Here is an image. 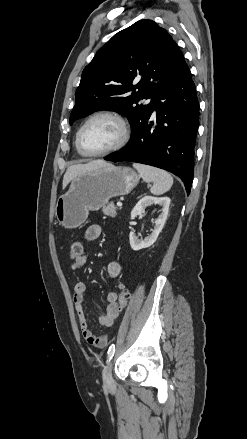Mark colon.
<instances>
[{"label": "colon", "instance_id": "5ec220e1", "mask_svg": "<svg viewBox=\"0 0 247 439\" xmlns=\"http://www.w3.org/2000/svg\"><path fill=\"white\" fill-rule=\"evenodd\" d=\"M84 252V247L82 242L80 241H74L71 245L70 248V256L73 259H77L80 256L83 255ZM129 300V291L126 288L125 285H121L120 286V293H119V297H118V310H122L123 308H125V306L127 305V302Z\"/></svg>", "mask_w": 247, "mask_h": 439}]
</instances>
